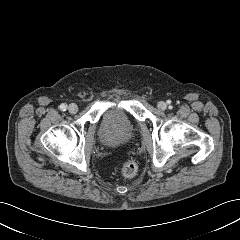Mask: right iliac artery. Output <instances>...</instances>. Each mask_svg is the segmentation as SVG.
I'll return each instance as SVG.
<instances>
[{
    "label": "right iliac artery",
    "mask_w": 240,
    "mask_h": 240,
    "mask_svg": "<svg viewBox=\"0 0 240 240\" xmlns=\"http://www.w3.org/2000/svg\"><path fill=\"white\" fill-rule=\"evenodd\" d=\"M59 108H60V110H62V111H66L67 105H66V104H61V105L59 106Z\"/></svg>",
    "instance_id": "obj_1"
}]
</instances>
